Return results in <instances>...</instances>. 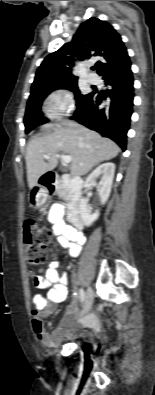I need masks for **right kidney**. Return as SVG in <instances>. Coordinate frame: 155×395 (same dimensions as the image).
<instances>
[{
  "instance_id": "right-kidney-1",
  "label": "right kidney",
  "mask_w": 155,
  "mask_h": 395,
  "mask_svg": "<svg viewBox=\"0 0 155 395\" xmlns=\"http://www.w3.org/2000/svg\"><path fill=\"white\" fill-rule=\"evenodd\" d=\"M115 172L113 163H104L98 166L86 179L85 187L96 186V179L102 176V183L98 187V194L101 204H105L111 192ZM80 216L85 226H90L99 217V212L92 213L88 206V200L83 198L80 201Z\"/></svg>"
}]
</instances>
